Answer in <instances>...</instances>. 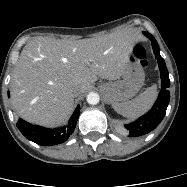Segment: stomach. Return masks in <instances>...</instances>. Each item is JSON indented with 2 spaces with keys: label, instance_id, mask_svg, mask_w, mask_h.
Instances as JSON below:
<instances>
[{
  "label": "stomach",
  "instance_id": "obj_1",
  "mask_svg": "<svg viewBox=\"0 0 187 187\" xmlns=\"http://www.w3.org/2000/svg\"><path fill=\"white\" fill-rule=\"evenodd\" d=\"M145 73L136 60H129V64L121 77L114 82L100 85L104 99L109 104L124 102L132 98L142 88Z\"/></svg>",
  "mask_w": 187,
  "mask_h": 187
}]
</instances>
